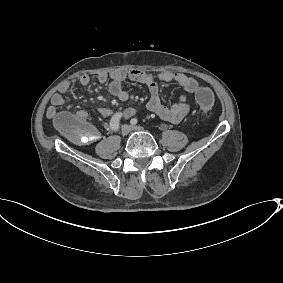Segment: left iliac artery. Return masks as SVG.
Returning a JSON list of instances; mask_svg holds the SVG:
<instances>
[{"label": "left iliac artery", "mask_w": 283, "mask_h": 283, "mask_svg": "<svg viewBox=\"0 0 283 283\" xmlns=\"http://www.w3.org/2000/svg\"><path fill=\"white\" fill-rule=\"evenodd\" d=\"M137 122H138L137 118H132L131 121H130V123H131L132 125L137 124Z\"/></svg>", "instance_id": "1"}]
</instances>
